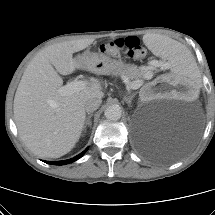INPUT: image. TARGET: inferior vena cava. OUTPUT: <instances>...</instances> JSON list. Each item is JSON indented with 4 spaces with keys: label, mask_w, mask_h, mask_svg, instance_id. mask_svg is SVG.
<instances>
[{
    "label": "inferior vena cava",
    "mask_w": 215,
    "mask_h": 215,
    "mask_svg": "<svg viewBox=\"0 0 215 215\" xmlns=\"http://www.w3.org/2000/svg\"><path fill=\"white\" fill-rule=\"evenodd\" d=\"M102 103L100 98H91L85 102L84 108L87 113L97 110Z\"/></svg>",
    "instance_id": "obj_1"
}]
</instances>
